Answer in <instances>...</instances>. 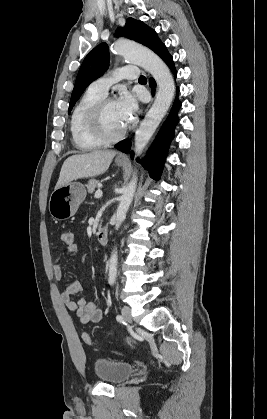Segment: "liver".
Masks as SVG:
<instances>
[{
  "mask_svg": "<svg viewBox=\"0 0 267 419\" xmlns=\"http://www.w3.org/2000/svg\"><path fill=\"white\" fill-rule=\"evenodd\" d=\"M115 155V151L93 150L89 153L70 156L62 165L55 188L64 186L76 179L104 173L109 168Z\"/></svg>",
  "mask_w": 267,
  "mask_h": 419,
  "instance_id": "liver-1",
  "label": "liver"
}]
</instances>
